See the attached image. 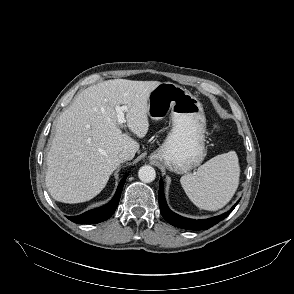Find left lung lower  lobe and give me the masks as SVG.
<instances>
[{
	"mask_svg": "<svg viewBox=\"0 0 294 294\" xmlns=\"http://www.w3.org/2000/svg\"><path fill=\"white\" fill-rule=\"evenodd\" d=\"M158 199H159L160 211H161V214L163 215L164 219L173 226L183 228V229H188V230H207V229L211 228L213 225L217 224L219 221H221L226 216H228L239 202L238 201L228 212H226L220 216L209 218V219H204V220H193V219H188V218L182 217V216L172 212L168 208L166 201H165L164 193H163L162 180L160 181Z\"/></svg>",
	"mask_w": 294,
	"mask_h": 294,
	"instance_id": "1",
	"label": "left lung lower lobe"
}]
</instances>
